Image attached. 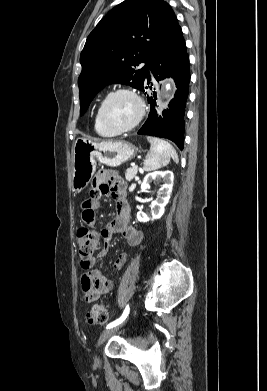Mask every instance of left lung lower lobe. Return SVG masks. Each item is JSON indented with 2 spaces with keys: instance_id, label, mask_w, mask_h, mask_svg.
Wrapping results in <instances>:
<instances>
[{
  "instance_id": "obj_1",
  "label": "left lung lower lobe",
  "mask_w": 267,
  "mask_h": 391,
  "mask_svg": "<svg viewBox=\"0 0 267 391\" xmlns=\"http://www.w3.org/2000/svg\"><path fill=\"white\" fill-rule=\"evenodd\" d=\"M149 69L157 81L172 77L176 83L177 91L168 106L169 108L163 111V116H158L155 110L156 102L153 97L149 98L151 102L149 118L138 131V134L167 138L182 150L184 114L189 90L190 71L189 56L186 52V44L180 26L151 56L145 83L141 88L143 92L149 88V85L152 86Z\"/></svg>"
}]
</instances>
